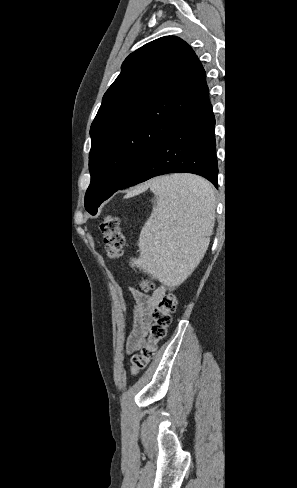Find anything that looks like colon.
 Wrapping results in <instances>:
<instances>
[{
  "instance_id": "obj_1",
  "label": "colon",
  "mask_w": 297,
  "mask_h": 488,
  "mask_svg": "<svg viewBox=\"0 0 297 488\" xmlns=\"http://www.w3.org/2000/svg\"><path fill=\"white\" fill-rule=\"evenodd\" d=\"M100 229L104 236L106 253L111 259H119L123 255L125 238L120 228V218L116 215H106L101 223ZM143 290H150L154 284L144 279L140 283ZM178 297L175 294H166L160 298L152 314V322L149 326V337L141 347L139 353L131 360V373L144 370L148 363L155 357L158 344L164 339L167 329L172 321V313L176 310Z\"/></svg>"
}]
</instances>
